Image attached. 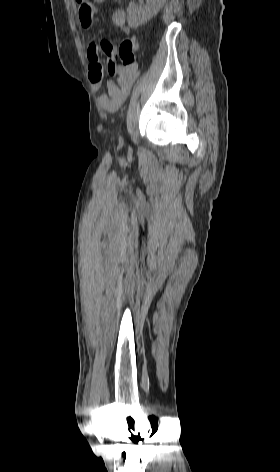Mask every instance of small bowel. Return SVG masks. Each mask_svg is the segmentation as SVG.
<instances>
[{
	"label": "small bowel",
	"instance_id": "1",
	"mask_svg": "<svg viewBox=\"0 0 280 472\" xmlns=\"http://www.w3.org/2000/svg\"><path fill=\"white\" fill-rule=\"evenodd\" d=\"M75 1L78 5L79 20L82 27L90 28L93 23L94 15L97 12L95 5L89 0ZM94 1L102 3L105 0ZM112 22L115 26L121 28L125 34L131 32V28L126 23V12L124 9L119 8L113 12ZM130 39L137 48L136 37L131 36ZM102 54L107 57L108 62H114L118 57L117 46L112 41L104 39L99 43L92 42L88 47L89 78L92 83V88L95 91L101 88L104 76V68L100 58ZM138 73L139 68L136 63L131 66L123 64L116 65L114 77L107 81V93L98 97L99 105L110 113L118 110L128 97Z\"/></svg>",
	"mask_w": 280,
	"mask_h": 472
}]
</instances>
